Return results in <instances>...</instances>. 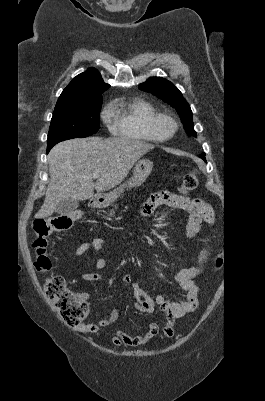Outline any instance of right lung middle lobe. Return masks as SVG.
Here are the masks:
<instances>
[{
  "label": "right lung middle lobe",
  "instance_id": "right-lung-middle-lobe-1",
  "mask_svg": "<svg viewBox=\"0 0 265 401\" xmlns=\"http://www.w3.org/2000/svg\"><path fill=\"white\" fill-rule=\"evenodd\" d=\"M101 105L102 97L56 106L48 133V147L63 140L84 138L96 133L100 127Z\"/></svg>",
  "mask_w": 265,
  "mask_h": 401
}]
</instances>
